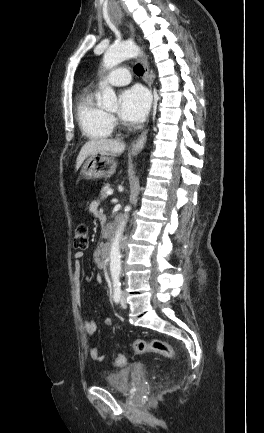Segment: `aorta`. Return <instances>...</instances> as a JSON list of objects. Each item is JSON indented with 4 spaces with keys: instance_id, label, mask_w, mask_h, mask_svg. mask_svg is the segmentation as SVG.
Listing matches in <instances>:
<instances>
[{
    "instance_id": "1",
    "label": "aorta",
    "mask_w": 264,
    "mask_h": 433,
    "mask_svg": "<svg viewBox=\"0 0 264 433\" xmlns=\"http://www.w3.org/2000/svg\"><path fill=\"white\" fill-rule=\"evenodd\" d=\"M139 53L138 46L131 42L112 45L104 54L103 65L106 69H111L128 58L138 56ZM102 105L108 108L117 105L115 91L109 86L102 91ZM128 210H130V207H128ZM127 218L126 214L120 221L110 247V273L112 278H119L121 275V242Z\"/></svg>"
}]
</instances>
